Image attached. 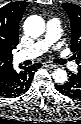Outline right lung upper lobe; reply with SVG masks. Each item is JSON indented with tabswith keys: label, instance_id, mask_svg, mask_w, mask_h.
Segmentation results:
<instances>
[{
	"label": "right lung upper lobe",
	"instance_id": "1",
	"mask_svg": "<svg viewBox=\"0 0 81 124\" xmlns=\"http://www.w3.org/2000/svg\"><path fill=\"white\" fill-rule=\"evenodd\" d=\"M28 2H11L0 8V74L11 69L12 50L18 45L19 23Z\"/></svg>",
	"mask_w": 81,
	"mask_h": 124
}]
</instances>
